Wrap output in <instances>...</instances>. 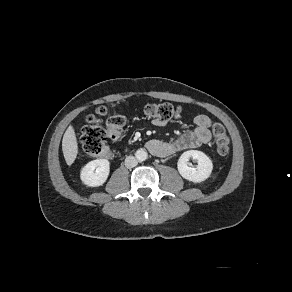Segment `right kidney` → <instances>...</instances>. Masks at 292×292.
Here are the masks:
<instances>
[{"instance_id": "right-kidney-1", "label": "right kidney", "mask_w": 292, "mask_h": 292, "mask_svg": "<svg viewBox=\"0 0 292 292\" xmlns=\"http://www.w3.org/2000/svg\"><path fill=\"white\" fill-rule=\"evenodd\" d=\"M109 172L110 162L106 159H96L82 168L80 179L89 187H98L106 182Z\"/></svg>"}]
</instances>
